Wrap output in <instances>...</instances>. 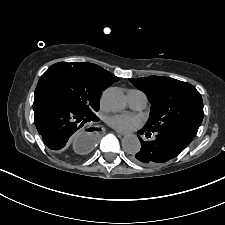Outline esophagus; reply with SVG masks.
I'll list each match as a JSON object with an SVG mask.
<instances>
[{"label": "esophagus", "instance_id": "1", "mask_svg": "<svg viewBox=\"0 0 225 225\" xmlns=\"http://www.w3.org/2000/svg\"><path fill=\"white\" fill-rule=\"evenodd\" d=\"M116 133H117L119 136H121V137L125 136V133H124V132L116 131Z\"/></svg>", "mask_w": 225, "mask_h": 225}]
</instances>
